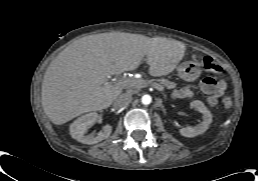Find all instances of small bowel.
Wrapping results in <instances>:
<instances>
[{
	"instance_id": "obj_1",
	"label": "small bowel",
	"mask_w": 258,
	"mask_h": 181,
	"mask_svg": "<svg viewBox=\"0 0 258 181\" xmlns=\"http://www.w3.org/2000/svg\"><path fill=\"white\" fill-rule=\"evenodd\" d=\"M226 84L224 81H216L212 77H205L200 83V90L206 94L207 102L210 106L216 105L218 99L225 90ZM176 98H191L194 95L192 88L183 87L176 89L173 93Z\"/></svg>"
}]
</instances>
